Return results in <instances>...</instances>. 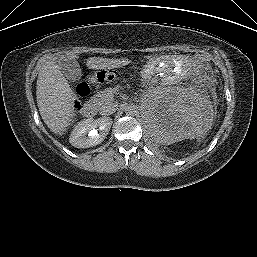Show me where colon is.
<instances>
[{"label": "colon", "instance_id": "1", "mask_svg": "<svg viewBox=\"0 0 257 257\" xmlns=\"http://www.w3.org/2000/svg\"><path fill=\"white\" fill-rule=\"evenodd\" d=\"M198 61L207 63L210 61V56L204 53L196 55ZM116 77V72L113 70H102L96 72L92 76L84 79L77 87V94L79 96H85L89 93L90 87L94 83H104L113 80Z\"/></svg>", "mask_w": 257, "mask_h": 257}]
</instances>
